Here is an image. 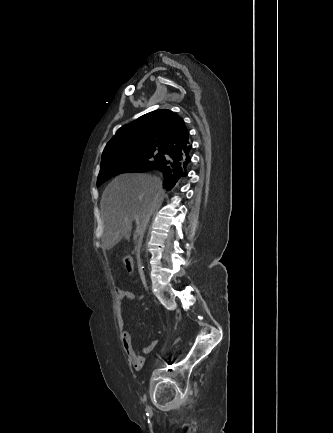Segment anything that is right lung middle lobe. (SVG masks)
Instances as JSON below:
<instances>
[{
	"label": "right lung middle lobe",
	"instance_id": "right-lung-middle-lobe-1",
	"mask_svg": "<svg viewBox=\"0 0 333 433\" xmlns=\"http://www.w3.org/2000/svg\"><path fill=\"white\" fill-rule=\"evenodd\" d=\"M161 149H126L101 160L97 187L110 177L125 172H144L152 169L164 158Z\"/></svg>",
	"mask_w": 333,
	"mask_h": 433
}]
</instances>
